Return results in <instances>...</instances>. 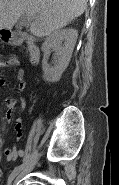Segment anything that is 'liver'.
I'll use <instances>...</instances> for the list:
<instances>
[{
	"instance_id": "6515ba94",
	"label": "liver",
	"mask_w": 119,
	"mask_h": 185,
	"mask_svg": "<svg viewBox=\"0 0 119 185\" xmlns=\"http://www.w3.org/2000/svg\"><path fill=\"white\" fill-rule=\"evenodd\" d=\"M86 6L87 0H0V30H11L26 13L33 15L31 33L44 37L81 16Z\"/></svg>"
}]
</instances>
